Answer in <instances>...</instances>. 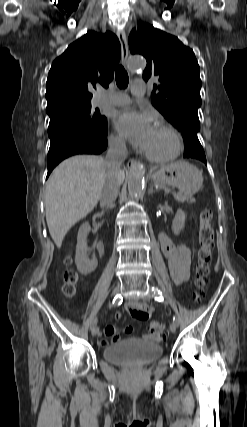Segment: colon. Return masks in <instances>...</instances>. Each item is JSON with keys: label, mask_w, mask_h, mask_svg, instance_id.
<instances>
[{"label": "colon", "mask_w": 247, "mask_h": 427, "mask_svg": "<svg viewBox=\"0 0 247 427\" xmlns=\"http://www.w3.org/2000/svg\"><path fill=\"white\" fill-rule=\"evenodd\" d=\"M211 220V210L208 208L203 209L199 216V250L195 269V284L197 290L194 293V300L196 302H199L201 299L202 289L209 274V265L211 261L212 247L214 242V231L211 224ZM65 262L67 265H69L71 264L72 260L70 257H67ZM78 279L79 276L75 270L68 269L65 272L64 285L62 290L63 294L66 297H72L76 293V284L78 282ZM148 332L152 338L160 340L165 335V326L158 322H152L149 324Z\"/></svg>", "instance_id": "1"}]
</instances>
